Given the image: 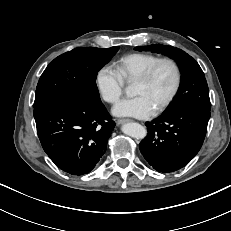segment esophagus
I'll return each mask as SVG.
<instances>
[{"mask_svg": "<svg viewBox=\"0 0 231 231\" xmlns=\"http://www.w3.org/2000/svg\"><path fill=\"white\" fill-rule=\"evenodd\" d=\"M130 121H131V119H117L116 123H117V125H121V124L130 122Z\"/></svg>", "mask_w": 231, "mask_h": 231, "instance_id": "esophagus-1", "label": "esophagus"}]
</instances>
